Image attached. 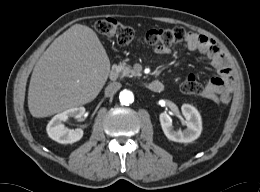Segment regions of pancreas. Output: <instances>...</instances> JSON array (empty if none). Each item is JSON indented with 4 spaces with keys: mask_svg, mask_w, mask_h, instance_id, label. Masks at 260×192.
<instances>
[{
    "mask_svg": "<svg viewBox=\"0 0 260 192\" xmlns=\"http://www.w3.org/2000/svg\"><path fill=\"white\" fill-rule=\"evenodd\" d=\"M118 68L121 71V76H136L137 73L130 68L125 62H122L118 65Z\"/></svg>",
    "mask_w": 260,
    "mask_h": 192,
    "instance_id": "1",
    "label": "pancreas"
}]
</instances>
